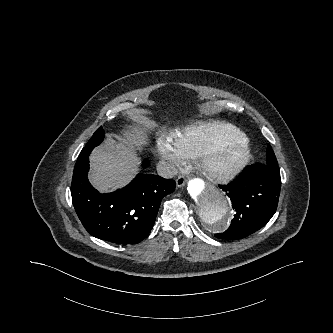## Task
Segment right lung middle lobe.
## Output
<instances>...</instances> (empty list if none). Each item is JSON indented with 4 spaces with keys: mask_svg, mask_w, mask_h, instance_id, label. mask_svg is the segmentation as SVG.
<instances>
[{
    "mask_svg": "<svg viewBox=\"0 0 333 333\" xmlns=\"http://www.w3.org/2000/svg\"><path fill=\"white\" fill-rule=\"evenodd\" d=\"M104 138V131L102 127L98 128V130L93 134L92 138L88 141L85 147H96L99 145Z\"/></svg>",
    "mask_w": 333,
    "mask_h": 333,
    "instance_id": "1",
    "label": "right lung middle lobe"
}]
</instances>
